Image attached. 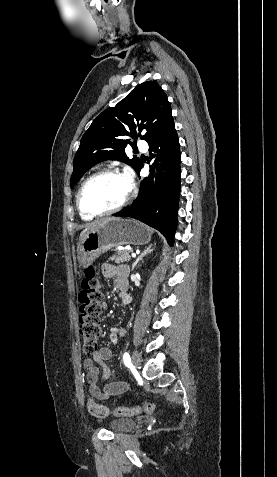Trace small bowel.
Wrapping results in <instances>:
<instances>
[{"label":"small bowel","mask_w":277,"mask_h":477,"mask_svg":"<svg viewBox=\"0 0 277 477\" xmlns=\"http://www.w3.org/2000/svg\"><path fill=\"white\" fill-rule=\"evenodd\" d=\"M102 274L105 278L114 279V284L119 290V297L123 300L127 296L129 267L126 265H115L104 263L101 267ZM105 308V304H103ZM125 335V329L121 327H113L110 332V341L113 344L118 342L120 336ZM113 354L108 347H101L92 353L91 358H86L83 366L87 371L86 381L90 394L97 399H108L110 397L120 395L128 389V384L124 381H112L107 383L103 388L99 385V378L107 380L111 377L112 371L109 367L103 366L100 371L97 364H103L111 360Z\"/></svg>","instance_id":"obj_1"}]
</instances>
